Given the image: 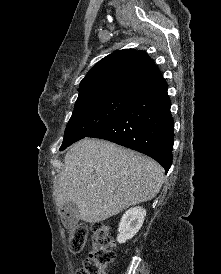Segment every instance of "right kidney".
Instances as JSON below:
<instances>
[{
	"mask_svg": "<svg viewBox=\"0 0 221 274\" xmlns=\"http://www.w3.org/2000/svg\"><path fill=\"white\" fill-rule=\"evenodd\" d=\"M146 210L141 207H134L127 210L119 223L117 241L125 243L136 235L143 225Z\"/></svg>",
	"mask_w": 221,
	"mask_h": 274,
	"instance_id": "ca27d5eb",
	"label": "right kidney"
}]
</instances>
